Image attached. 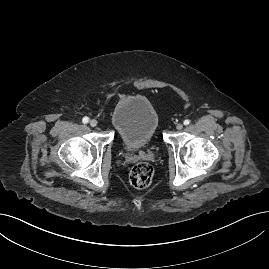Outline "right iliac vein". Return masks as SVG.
Segmentation results:
<instances>
[{"label": "right iliac vein", "instance_id": "63e3f726", "mask_svg": "<svg viewBox=\"0 0 269 269\" xmlns=\"http://www.w3.org/2000/svg\"><path fill=\"white\" fill-rule=\"evenodd\" d=\"M97 124H98V122H97L95 119H92V120L90 121V125H91L92 127H96Z\"/></svg>", "mask_w": 269, "mask_h": 269}]
</instances>
